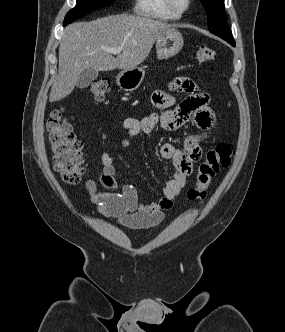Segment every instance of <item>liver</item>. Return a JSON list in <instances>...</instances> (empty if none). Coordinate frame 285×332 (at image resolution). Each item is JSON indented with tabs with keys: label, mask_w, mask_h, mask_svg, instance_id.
Wrapping results in <instances>:
<instances>
[{
	"label": "liver",
	"mask_w": 285,
	"mask_h": 332,
	"mask_svg": "<svg viewBox=\"0 0 285 332\" xmlns=\"http://www.w3.org/2000/svg\"><path fill=\"white\" fill-rule=\"evenodd\" d=\"M172 30L171 25L158 20L125 14L68 25L60 42L58 75L49 101L71 94L87 68L98 72L137 67L148 57L155 41ZM118 47L122 51L116 58L104 50Z\"/></svg>",
	"instance_id": "obj_1"
}]
</instances>
